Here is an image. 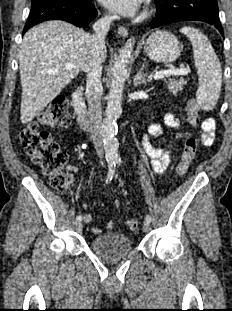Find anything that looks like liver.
Segmentation results:
<instances>
[{"mask_svg": "<svg viewBox=\"0 0 232 311\" xmlns=\"http://www.w3.org/2000/svg\"><path fill=\"white\" fill-rule=\"evenodd\" d=\"M89 35L64 21H48L30 29L19 53L22 83L21 122L27 124L92 62ZM106 58V47L102 53ZM66 63L78 66L67 70Z\"/></svg>", "mask_w": 232, "mask_h": 311, "instance_id": "liver-1", "label": "liver"}]
</instances>
